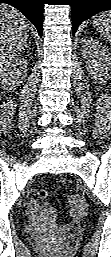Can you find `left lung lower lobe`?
Instances as JSON below:
<instances>
[{"label": "left lung lower lobe", "mask_w": 111, "mask_h": 257, "mask_svg": "<svg viewBox=\"0 0 111 257\" xmlns=\"http://www.w3.org/2000/svg\"><path fill=\"white\" fill-rule=\"evenodd\" d=\"M104 10H111V0H72V33L83 21Z\"/></svg>", "instance_id": "obj_1"}]
</instances>
